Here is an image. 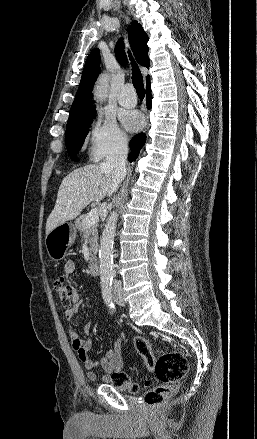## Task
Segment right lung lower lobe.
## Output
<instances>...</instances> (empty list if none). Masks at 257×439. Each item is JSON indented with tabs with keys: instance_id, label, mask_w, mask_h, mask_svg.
<instances>
[{
	"instance_id": "obj_1",
	"label": "right lung lower lobe",
	"mask_w": 257,
	"mask_h": 439,
	"mask_svg": "<svg viewBox=\"0 0 257 439\" xmlns=\"http://www.w3.org/2000/svg\"><path fill=\"white\" fill-rule=\"evenodd\" d=\"M146 95H147V108L150 109L151 105H152L150 78L147 79ZM145 142H146V135L144 133H140L132 138V140L130 141V148H131V153L129 154V161L130 162L136 160V158L138 157L140 150L144 146Z\"/></svg>"
}]
</instances>
